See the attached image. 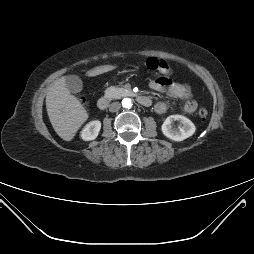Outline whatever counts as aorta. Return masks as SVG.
Returning a JSON list of instances; mask_svg holds the SVG:
<instances>
[{
    "instance_id": "762f6f07",
    "label": "aorta",
    "mask_w": 254,
    "mask_h": 254,
    "mask_svg": "<svg viewBox=\"0 0 254 254\" xmlns=\"http://www.w3.org/2000/svg\"><path fill=\"white\" fill-rule=\"evenodd\" d=\"M122 105H123V107H125V108H130V107H132V100H131L130 98H124V99L122 100Z\"/></svg>"
}]
</instances>
